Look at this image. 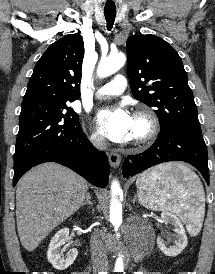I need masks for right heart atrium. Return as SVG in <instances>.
I'll list each match as a JSON object with an SVG mask.
<instances>
[{
    "instance_id": "d8ad5b80",
    "label": "right heart atrium",
    "mask_w": 215,
    "mask_h": 274,
    "mask_svg": "<svg viewBox=\"0 0 215 274\" xmlns=\"http://www.w3.org/2000/svg\"><path fill=\"white\" fill-rule=\"evenodd\" d=\"M90 142L92 145L98 149H102L105 147V139L101 131L99 130H93L90 134Z\"/></svg>"
}]
</instances>
